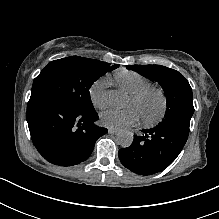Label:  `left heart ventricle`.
I'll use <instances>...</instances> for the list:
<instances>
[{"label":"left heart ventricle","mask_w":219,"mask_h":219,"mask_svg":"<svg viewBox=\"0 0 219 219\" xmlns=\"http://www.w3.org/2000/svg\"><path fill=\"white\" fill-rule=\"evenodd\" d=\"M134 106L141 116L147 119L156 118L161 110V100L157 94H147L141 99L129 98L127 106Z\"/></svg>","instance_id":"obj_1"}]
</instances>
